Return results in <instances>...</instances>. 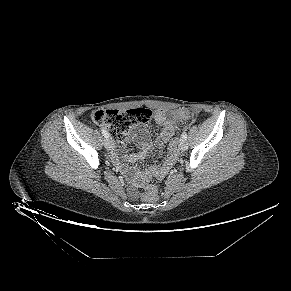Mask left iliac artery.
Instances as JSON below:
<instances>
[{"instance_id":"1","label":"left iliac artery","mask_w":291,"mask_h":291,"mask_svg":"<svg viewBox=\"0 0 291 291\" xmlns=\"http://www.w3.org/2000/svg\"><path fill=\"white\" fill-rule=\"evenodd\" d=\"M186 139H187V133L184 132V133L182 134V140H185V141H186Z\"/></svg>"}]
</instances>
